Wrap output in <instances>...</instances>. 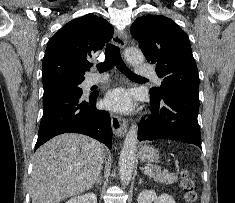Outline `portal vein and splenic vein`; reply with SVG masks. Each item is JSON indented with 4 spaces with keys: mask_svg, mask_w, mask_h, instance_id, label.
<instances>
[{
    "mask_svg": "<svg viewBox=\"0 0 235 203\" xmlns=\"http://www.w3.org/2000/svg\"><path fill=\"white\" fill-rule=\"evenodd\" d=\"M157 168V170H160V167H156ZM153 169H151V168H146L145 169V171H144V173L145 174H148L149 172H151Z\"/></svg>",
    "mask_w": 235,
    "mask_h": 203,
    "instance_id": "obj_1",
    "label": "portal vein and splenic vein"
}]
</instances>
